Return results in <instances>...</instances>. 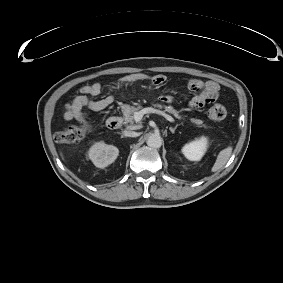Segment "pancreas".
I'll list each match as a JSON object with an SVG mask.
<instances>
[{"instance_id":"obj_1","label":"pancreas","mask_w":283,"mask_h":283,"mask_svg":"<svg viewBox=\"0 0 283 283\" xmlns=\"http://www.w3.org/2000/svg\"><path fill=\"white\" fill-rule=\"evenodd\" d=\"M155 108H165V110L168 113L173 114L176 118L181 119L182 116L179 114L180 112L177 111L176 109H174L173 106L169 105V106H162L160 104H154L153 105ZM140 107H134V106H126L124 109V123L125 124H130L129 127H135L134 125V113L139 111ZM192 123L196 124V125H203V121L200 119H191Z\"/></svg>"}]
</instances>
